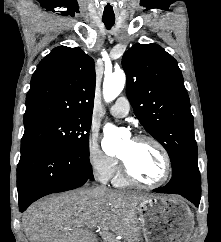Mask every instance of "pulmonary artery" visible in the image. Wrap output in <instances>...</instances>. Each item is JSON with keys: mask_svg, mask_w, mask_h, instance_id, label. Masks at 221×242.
<instances>
[{"mask_svg": "<svg viewBox=\"0 0 221 242\" xmlns=\"http://www.w3.org/2000/svg\"><path fill=\"white\" fill-rule=\"evenodd\" d=\"M130 105L126 97L120 96L117 98L115 104L110 108V113L114 117H124L129 113Z\"/></svg>", "mask_w": 221, "mask_h": 242, "instance_id": "1", "label": "pulmonary artery"}]
</instances>
